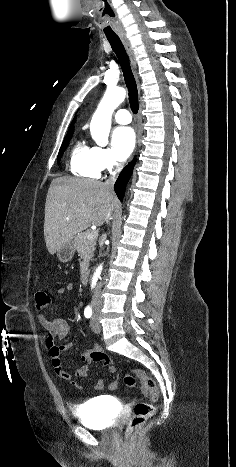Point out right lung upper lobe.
<instances>
[{
    "instance_id": "1",
    "label": "right lung upper lobe",
    "mask_w": 236,
    "mask_h": 467,
    "mask_svg": "<svg viewBox=\"0 0 236 467\" xmlns=\"http://www.w3.org/2000/svg\"><path fill=\"white\" fill-rule=\"evenodd\" d=\"M74 121H75V118H74V120H73L72 124L70 125V127H69V130H68V133H67V134L73 133V131H74V125H73V124H74Z\"/></svg>"
}]
</instances>
